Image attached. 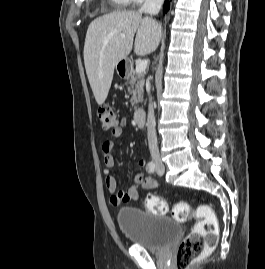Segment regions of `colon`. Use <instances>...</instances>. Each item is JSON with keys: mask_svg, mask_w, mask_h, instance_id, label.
Returning <instances> with one entry per match:
<instances>
[{"mask_svg": "<svg viewBox=\"0 0 265 269\" xmlns=\"http://www.w3.org/2000/svg\"><path fill=\"white\" fill-rule=\"evenodd\" d=\"M103 130H114L119 126V119L112 108L101 106L97 111ZM144 208L155 214H165L168 203L165 199L148 195L143 201ZM173 217L179 222H186L192 216V208L186 201L177 202L172 209ZM196 214L200 220L181 241L177 250L176 269H187L199 259L207 249L213 247L218 237V221L212 209L199 206Z\"/></svg>", "mask_w": 265, "mask_h": 269, "instance_id": "colon-1", "label": "colon"}]
</instances>
